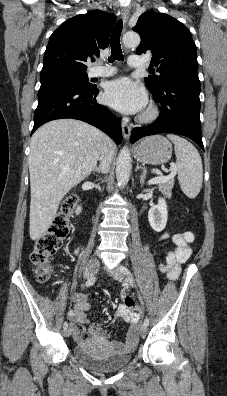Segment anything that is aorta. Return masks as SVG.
<instances>
[{
  "mask_svg": "<svg viewBox=\"0 0 227 396\" xmlns=\"http://www.w3.org/2000/svg\"><path fill=\"white\" fill-rule=\"evenodd\" d=\"M123 44L126 47H137L140 44V36L135 32H127L123 36ZM131 170V156L128 147L124 146L118 155L116 162V179L120 187L126 186L129 181Z\"/></svg>",
  "mask_w": 227,
  "mask_h": 396,
  "instance_id": "762f6f07",
  "label": "aorta"
}]
</instances>
